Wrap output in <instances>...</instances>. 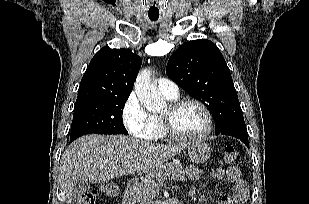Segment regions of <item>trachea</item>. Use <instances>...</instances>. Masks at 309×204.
<instances>
[{
	"label": "trachea",
	"instance_id": "1",
	"mask_svg": "<svg viewBox=\"0 0 309 204\" xmlns=\"http://www.w3.org/2000/svg\"><path fill=\"white\" fill-rule=\"evenodd\" d=\"M150 18V20H152V21H156L157 19H158V17H149Z\"/></svg>",
	"mask_w": 309,
	"mask_h": 204
}]
</instances>
